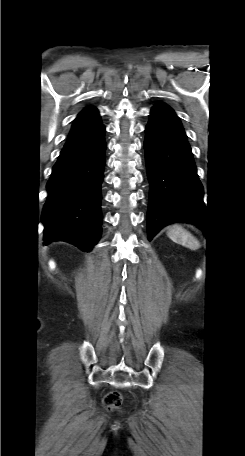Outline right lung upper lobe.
Segmentation results:
<instances>
[{"label":"right lung upper lobe","mask_w":245,"mask_h":456,"mask_svg":"<svg viewBox=\"0 0 245 456\" xmlns=\"http://www.w3.org/2000/svg\"><path fill=\"white\" fill-rule=\"evenodd\" d=\"M103 127L98 111L93 107L82 110L74 120L64 148H74L94 140Z\"/></svg>","instance_id":"1"}]
</instances>
